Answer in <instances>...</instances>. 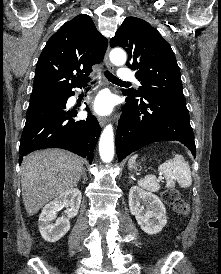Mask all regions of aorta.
I'll list each match as a JSON object with an SVG mask.
<instances>
[{"instance_id": "1", "label": "aorta", "mask_w": 221, "mask_h": 274, "mask_svg": "<svg viewBox=\"0 0 221 274\" xmlns=\"http://www.w3.org/2000/svg\"><path fill=\"white\" fill-rule=\"evenodd\" d=\"M126 53L121 48H115L110 52V60L116 66L124 65ZM99 153L103 162H110L114 157V131L112 125H107L100 137Z\"/></svg>"}]
</instances>
